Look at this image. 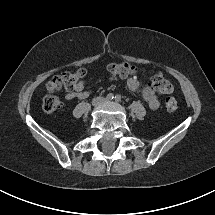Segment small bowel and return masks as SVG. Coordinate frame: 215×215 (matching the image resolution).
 I'll list each match as a JSON object with an SVG mask.
<instances>
[{"mask_svg": "<svg viewBox=\"0 0 215 215\" xmlns=\"http://www.w3.org/2000/svg\"><path fill=\"white\" fill-rule=\"evenodd\" d=\"M127 87L131 91H135L139 87V81L136 77H130L127 80ZM143 98L147 102L148 106L152 110H156L160 106V101L156 93L152 88L149 86L144 87L143 89ZM90 95V92L88 90L84 89V81L80 80L75 88L69 92L66 93V99L72 100V99H85Z\"/></svg>", "mask_w": 215, "mask_h": 215, "instance_id": "1", "label": "small bowel"}]
</instances>
